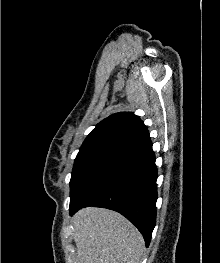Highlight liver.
I'll return each instance as SVG.
<instances>
[{
  "mask_svg": "<svg viewBox=\"0 0 220 263\" xmlns=\"http://www.w3.org/2000/svg\"><path fill=\"white\" fill-rule=\"evenodd\" d=\"M76 263H140L144 239L121 214L87 207L72 218Z\"/></svg>",
  "mask_w": 220,
  "mask_h": 263,
  "instance_id": "liver-1",
  "label": "liver"
}]
</instances>
